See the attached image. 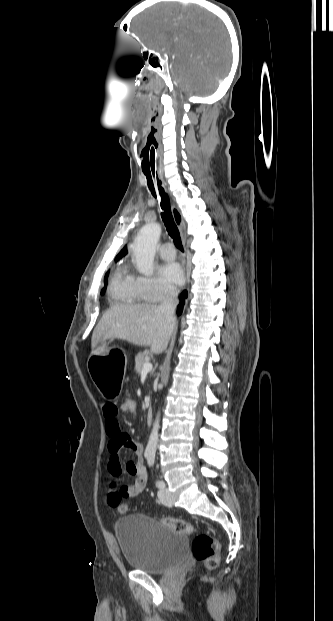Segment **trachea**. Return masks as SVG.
Returning <instances> with one entry per match:
<instances>
[{
	"label": "trachea",
	"mask_w": 333,
	"mask_h": 621,
	"mask_svg": "<svg viewBox=\"0 0 333 621\" xmlns=\"http://www.w3.org/2000/svg\"><path fill=\"white\" fill-rule=\"evenodd\" d=\"M144 175L146 176L147 184H148L149 190L151 191L152 195L155 198L156 197L159 198L160 207H161V217L165 224L168 234L173 239L176 247L180 249L181 251H183L180 233H179L178 227L176 226L173 215H172L168 194L164 191V188L161 186L162 183L159 180L158 176L156 178L154 174L151 175V173H148V172H144Z\"/></svg>",
	"instance_id": "1"
}]
</instances>
